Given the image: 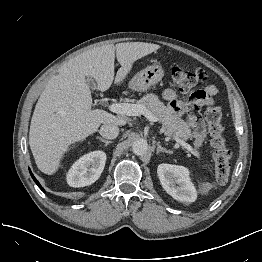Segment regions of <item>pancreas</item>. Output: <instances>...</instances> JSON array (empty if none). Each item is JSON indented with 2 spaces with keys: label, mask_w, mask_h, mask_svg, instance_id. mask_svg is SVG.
I'll list each match as a JSON object with an SVG mask.
<instances>
[{
  "label": "pancreas",
  "mask_w": 262,
  "mask_h": 262,
  "mask_svg": "<svg viewBox=\"0 0 262 262\" xmlns=\"http://www.w3.org/2000/svg\"><path fill=\"white\" fill-rule=\"evenodd\" d=\"M137 103L157 118L167 136L182 140H187L191 136L187 123L175 116L171 109L159 100L158 96L150 93L143 96Z\"/></svg>",
  "instance_id": "obj_1"
}]
</instances>
